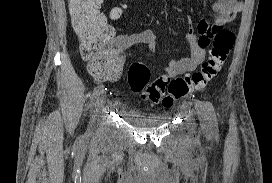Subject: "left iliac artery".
<instances>
[{
    "mask_svg": "<svg viewBox=\"0 0 272 183\" xmlns=\"http://www.w3.org/2000/svg\"><path fill=\"white\" fill-rule=\"evenodd\" d=\"M205 107H206V110H207V113H208V119L210 121L211 128L215 133H217V131H218V122H217L215 109H214L212 103L209 102V101L205 102Z\"/></svg>",
    "mask_w": 272,
    "mask_h": 183,
    "instance_id": "1",
    "label": "left iliac artery"
}]
</instances>
